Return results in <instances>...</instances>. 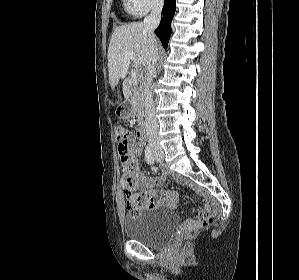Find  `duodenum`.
I'll use <instances>...</instances> for the list:
<instances>
[{"label":"duodenum","mask_w":299,"mask_h":280,"mask_svg":"<svg viewBox=\"0 0 299 280\" xmlns=\"http://www.w3.org/2000/svg\"><path fill=\"white\" fill-rule=\"evenodd\" d=\"M138 137L140 140H145L147 138V126L142 123L138 129Z\"/></svg>","instance_id":"obj_1"}]
</instances>
